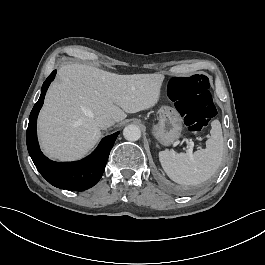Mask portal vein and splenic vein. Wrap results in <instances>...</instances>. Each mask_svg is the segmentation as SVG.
I'll list each match as a JSON object with an SVG mask.
<instances>
[{
	"mask_svg": "<svg viewBox=\"0 0 265 265\" xmlns=\"http://www.w3.org/2000/svg\"><path fill=\"white\" fill-rule=\"evenodd\" d=\"M187 145H189L187 152L191 155L194 149V142L187 143Z\"/></svg>",
	"mask_w": 265,
	"mask_h": 265,
	"instance_id": "18ae733b",
	"label": "portal vein and splenic vein"
}]
</instances>
